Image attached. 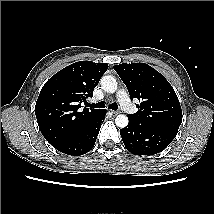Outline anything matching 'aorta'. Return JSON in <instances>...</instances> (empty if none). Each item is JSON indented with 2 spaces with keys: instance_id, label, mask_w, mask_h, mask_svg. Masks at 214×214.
<instances>
[{
  "instance_id": "1",
  "label": "aorta",
  "mask_w": 214,
  "mask_h": 214,
  "mask_svg": "<svg viewBox=\"0 0 214 214\" xmlns=\"http://www.w3.org/2000/svg\"><path fill=\"white\" fill-rule=\"evenodd\" d=\"M102 89L109 93H114L117 90V81L113 76H103L100 80ZM128 117L124 114H119L115 118L116 126L125 128L128 125Z\"/></svg>"
}]
</instances>
